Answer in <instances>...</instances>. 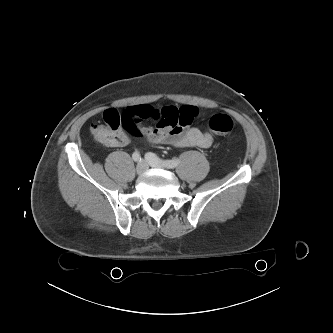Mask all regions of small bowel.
I'll return each instance as SVG.
<instances>
[{"mask_svg":"<svg viewBox=\"0 0 333 333\" xmlns=\"http://www.w3.org/2000/svg\"><path fill=\"white\" fill-rule=\"evenodd\" d=\"M198 114V109L189 105L179 108L174 106L153 108L141 105L129 107L126 111V115L134 124V130L130 133L138 139L178 148H209L213 143L212 135L191 126ZM145 121H154L155 124L147 125ZM129 141L130 136L119 130L111 146L122 147Z\"/></svg>","mask_w":333,"mask_h":333,"instance_id":"1","label":"small bowel"}]
</instances>
